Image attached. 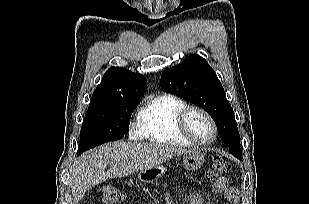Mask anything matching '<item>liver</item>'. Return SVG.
I'll return each mask as SVG.
<instances>
[{"instance_id": "6515ba94", "label": "liver", "mask_w": 309, "mask_h": 204, "mask_svg": "<svg viewBox=\"0 0 309 204\" xmlns=\"http://www.w3.org/2000/svg\"><path fill=\"white\" fill-rule=\"evenodd\" d=\"M186 152L168 145L125 141L107 143L85 152L70 171L74 201L79 202L87 191L107 179L149 169ZM107 165L110 169L105 171Z\"/></svg>"}]
</instances>
